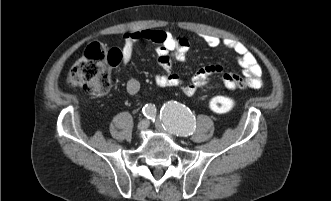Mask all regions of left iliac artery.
<instances>
[{"instance_id": "obj_1", "label": "left iliac artery", "mask_w": 331, "mask_h": 201, "mask_svg": "<svg viewBox=\"0 0 331 201\" xmlns=\"http://www.w3.org/2000/svg\"><path fill=\"white\" fill-rule=\"evenodd\" d=\"M162 126L177 136H188L194 132L195 117L189 108L176 101L164 104L160 111Z\"/></svg>"}]
</instances>
